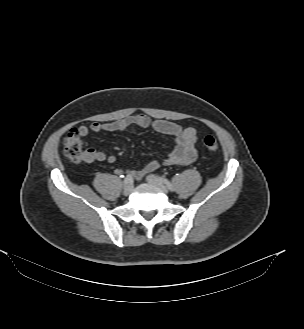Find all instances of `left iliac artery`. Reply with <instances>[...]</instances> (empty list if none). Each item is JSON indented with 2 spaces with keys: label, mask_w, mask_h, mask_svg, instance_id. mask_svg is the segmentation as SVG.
<instances>
[{
  "label": "left iliac artery",
  "mask_w": 304,
  "mask_h": 329,
  "mask_svg": "<svg viewBox=\"0 0 304 329\" xmlns=\"http://www.w3.org/2000/svg\"><path fill=\"white\" fill-rule=\"evenodd\" d=\"M160 179L168 187V189L170 191H174V186L172 185V183L169 180H167L166 178H163V177Z\"/></svg>",
  "instance_id": "obj_1"
}]
</instances>
